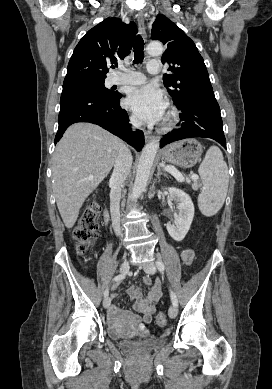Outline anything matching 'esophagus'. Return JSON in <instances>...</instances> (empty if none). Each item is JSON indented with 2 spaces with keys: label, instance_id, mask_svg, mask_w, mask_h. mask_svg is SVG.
I'll list each match as a JSON object with an SVG mask.
<instances>
[{
  "label": "esophagus",
  "instance_id": "obj_1",
  "mask_svg": "<svg viewBox=\"0 0 272 389\" xmlns=\"http://www.w3.org/2000/svg\"><path fill=\"white\" fill-rule=\"evenodd\" d=\"M138 30L140 35L145 39L146 38V29L144 23V13L141 11L137 14ZM146 141H149L153 138V135L150 131H145L144 133Z\"/></svg>",
  "mask_w": 272,
  "mask_h": 389
}]
</instances>
